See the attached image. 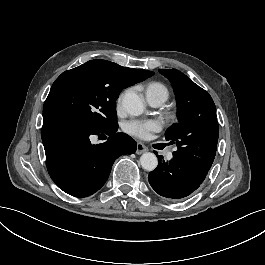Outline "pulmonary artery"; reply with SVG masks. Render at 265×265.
Segmentation results:
<instances>
[{
    "label": "pulmonary artery",
    "mask_w": 265,
    "mask_h": 265,
    "mask_svg": "<svg viewBox=\"0 0 265 265\" xmlns=\"http://www.w3.org/2000/svg\"><path fill=\"white\" fill-rule=\"evenodd\" d=\"M148 102H149L151 105H153V106H158V104H157L156 102H154V101L148 100Z\"/></svg>",
    "instance_id": "obj_1"
}]
</instances>
